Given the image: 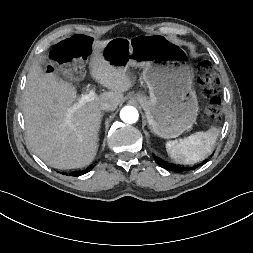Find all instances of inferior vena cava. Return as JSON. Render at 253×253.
Masks as SVG:
<instances>
[{"label":"inferior vena cava","mask_w":253,"mask_h":253,"mask_svg":"<svg viewBox=\"0 0 253 253\" xmlns=\"http://www.w3.org/2000/svg\"><path fill=\"white\" fill-rule=\"evenodd\" d=\"M100 109L103 111H113L115 108L114 105L109 102H102L100 104Z\"/></svg>","instance_id":"602c4592"}]
</instances>
